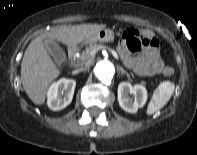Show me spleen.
I'll return each instance as SVG.
<instances>
[{"instance_id":"obj_1","label":"spleen","mask_w":197,"mask_h":155,"mask_svg":"<svg viewBox=\"0 0 197 155\" xmlns=\"http://www.w3.org/2000/svg\"><path fill=\"white\" fill-rule=\"evenodd\" d=\"M175 90L174 83L170 81L161 82L154 90L152 98L147 107V115H152L163 108L170 100Z\"/></svg>"}]
</instances>
